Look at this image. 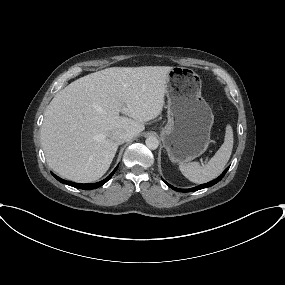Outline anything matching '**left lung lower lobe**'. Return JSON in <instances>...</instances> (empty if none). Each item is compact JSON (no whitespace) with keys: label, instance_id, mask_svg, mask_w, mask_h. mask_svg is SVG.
<instances>
[{"label":"left lung lower lobe","instance_id":"1","mask_svg":"<svg viewBox=\"0 0 285 285\" xmlns=\"http://www.w3.org/2000/svg\"><path fill=\"white\" fill-rule=\"evenodd\" d=\"M229 168V167H228ZM228 168H226L224 170V172L218 177L216 178L215 180H212L206 184H202V185H199V186H196L194 188H190V189H179V188H175L173 187L172 185L168 184L166 181H164L169 187H171L172 189L178 191V192H192V191H197V190H200V189H204V188H207V187H211L213 186L214 184H216L217 182H219L225 175V173L227 172Z\"/></svg>","mask_w":285,"mask_h":285}]
</instances>
